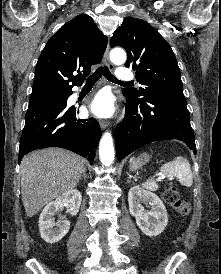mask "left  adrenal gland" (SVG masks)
<instances>
[{
    "mask_svg": "<svg viewBox=\"0 0 221 274\" xmlns=\"http://www.w3.org/2000/svg\"><path fill=\"white\" fill-rule=\"evenodd\" d=\"M130 182H131V181H130V178H128V179H127V183H130Z\"/></svg>",
    "mask_w": 221,
    "mask_h": 274,
    "instance_id": "obj_1",
    "label": "left adrenal gland"
}]
</instances>
